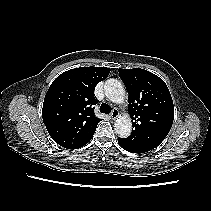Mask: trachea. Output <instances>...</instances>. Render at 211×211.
Returning a JSON list of instances; mask_svg holds the SVG:
<instances>
[{
    "mask_svg": "<svg viewBox=\"0 0 211 211\" xmlns=\"http://www.w3.org/2000/svg\"><path fill=\"white\" fill-rule=\"evenodd\" d=\"M100 112L104 114H109L111 112V107L108 104L103 103L100 106Z\"/></svg>",
    "mask_w": 211,
    "mask_h": 211,
    "instance_id": "1",
    "label": "trachea"
}]
</instances>
